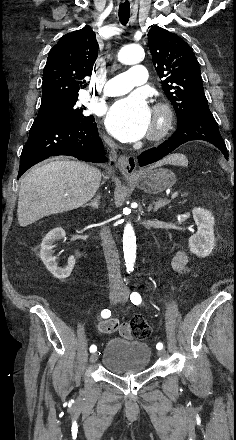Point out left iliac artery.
<instances>
[{
	"label": "left iliac artery",
	"instance_id": "44dca946",
	"mask_svg": "<svg viewBox=\"0 0 236 440\" xmlns=\"http://www.w3.org/2000/svg\"><path fill=\"white\" fill-rule=\"evenodd\" d=\"M130 300H131V302H132L133 304H135V305H139V304L141 303V301H142V298H141V296H140V294H139L138 292H133V293L130 295ZM156 348H157L158 350H161V349L163 348V344L160 343V342L157 343Z\"/></svg>",
	"mask_w": 236,
	"mask_h": 440
}]
</instances>
